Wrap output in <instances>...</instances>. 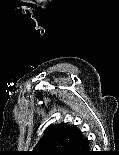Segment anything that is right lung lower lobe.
I'll list each match as a JSON object with an SVG mask.
<instances>
[{
    "instance_id": "obj_1",
    "label": "right lung lower lobe",
    "mask_w": 119,
    "mask_h": 155,
    "mask_svg": "<svg viewBox=\"0 0 119 155\" xmlns=\"http://www.w3.org/2000/svg\"><path fill=\"white\" fill-rule=\"evenodd\" d=\"M63 155H91L89 150V140L83 137L81 140L71 145Z\"/></svg>"
}]
</instances>
